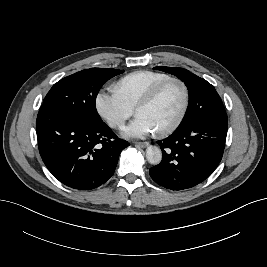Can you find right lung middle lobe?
Masks as SVG:
<instances>
[{
	"mask_svg": "<svg viewBox=\"0 0 267 267\" xmlns=\"http://www.w3.org/2000/svg\"><path fill=\"white\" fill-rule=\"evenodd\" d=\"M123 73L110 68H90L67 76L55 83L43 104L63 109L91 124H102L96 110V96L110 78Z\"/></svg>",
	"mask_w": 267,
	"mask_h": 267,
	"instance_id": "1",
	"label": "right lung middle lobe"
}]
</instances>
